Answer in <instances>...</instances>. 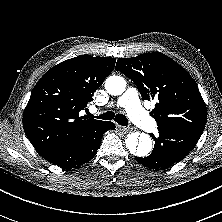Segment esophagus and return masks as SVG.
<instances>
[{
  "label": "esophagus",
  "mask_w": 222,
  "mask_h": 222,
  "mask_svg": "<svg viewBox=\"0 0 222 222\" xmlns=\"http://www.w3.org/2000/svg\"><path fill=\"white\" fill-rule=\"evenodd\" d=\"M117 129L124 132V133H128L130 131H132V128L130 127H124V126H121V125H116Z\"/></svg>",
  "instance_id": "esophagus-1"
}]
</instances>
